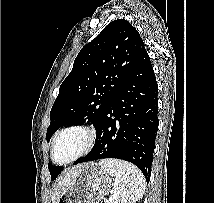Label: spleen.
Wrapping results in <instances>:
<instances>
[{"label":"spleen","mask_w":214,"mask_h":203,"mask_svg":"<svg viewBox=\"0 0 214 203\" xmlns=\"http://www.w3.org/2000/svg\"><path fill=\"white\" fill-rule=\"evenodd\" d=\"M99 165L114 177L115 203H136L145 191V178L133 164L116 159H103Z\"/></svg>","instance_id":"obj_1"}]
</instances>
